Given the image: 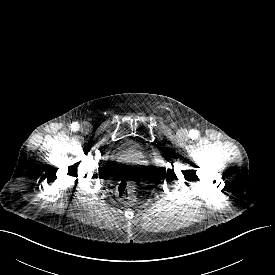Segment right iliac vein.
<instances>
[{
	"label": "right iliac vein",
	"mask_w": 275,
	"mask_h": 275,
	"mask_svg": "<svg viewBox=\"0 0 275 275\" xmlns=\"http://www.w3.org/2000/svg\"><path fill=\"white\" fill-rule=\"evenodd\" d=\"M82 130L86 131L89 129V125L88 124H84L81 128Z\"/></svg>",
	"instance_id": "right-iliac-vein-1"
}]
</instances>
